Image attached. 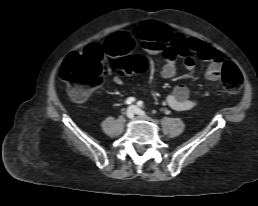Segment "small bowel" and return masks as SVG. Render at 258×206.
I'll list each match as a JSON object with an SVG mask.
<instances>
[{
	"instance_id": "obj_1",
	"label": "small bowel",
	"mask_w": 258,
	"mask_h": 206,
	"mask_svg": "<svg viewBox=\"0 0 258 206\" xmlns=\"http://www.w3.org/2000/svg\"><path fill=\"white\" fill-rule=\"evenodd\" d=\"M163 30L153 37H141V45L144 50L151 54H162L165 63L161 69L164 78H172L176 74L177 56L183 58L186 70L191 71L195 68V58L206 60L209 66L206 77L211 81H218L221 76L224 59L219 50L207 45L197 38H188L181 33H173L166 26H160ZM139 33V32H137ZM134 38L127 32H118L111 35L102 46L91 44L85 49L98 47L107 55L118 58L126 54L132 48ZM114 83L121 84L119 77L113 79ZM169 107L177 111H187L194 108L198 101L190 99V92L187 86L177 85L166 97Z\"/></svg>"
}]
</instances>
